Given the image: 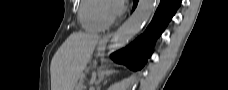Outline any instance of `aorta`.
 I'll list each match as a JSON object with an SVG mask.
<instances>
[{
  "label": "aorta",
  "mask_w": 228,
  "mask_h": 90,
  "mask_svg": "<svg viewBox=\"0 0 228 90\" xmlns=\"http://www.w3.org/2000/svg\"><path fill=\"white\" fill-rule=\"evenodd\" d=\"M157 0H139L129 19L112 35L109 52L124 47L144 26L154 13Z\"/></svg>",
  "instance_id": "obj_1"
}]
</instances>
